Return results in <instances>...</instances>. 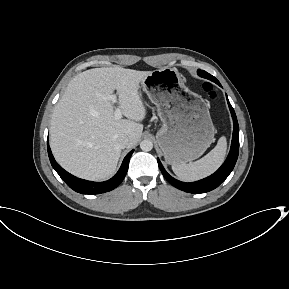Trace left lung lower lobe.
<instances>
[{
	"instance_id": "1",
	"label": "left lung lower lobe",
	"mask_w": 289,
	"mask_h": 289,
	"mask_svg": "<svg viewBox=\"0 0 289 289\" xmlns=\"http://www.w3.org/2000/svg\"><path fill=\"white\" fill-rule=\"evenodd\" d=\"M220 85V84H218ZM221 86V85H220ZM229 109L233 118V123H234V130H233V137H232V143H231V149L229 152V155L226 159V161L223 163V165L211 176L193 182V183H185L178 181L171 177L163 168L161 162L158 159V165L159 168L164 175V177L167 179L169 183H171L174 187L183 190L185 192L189 193H205L209 192L215 188H217L232 172L235 163L238 158V153H239V126L236 118L235 111L233 107L231 106L228 97H227Z\"/></svg>"
}]
</instances>
